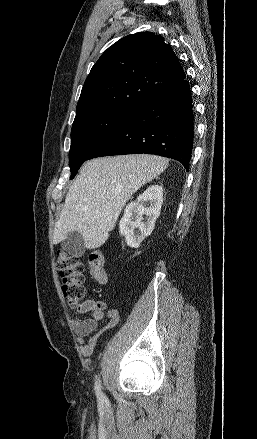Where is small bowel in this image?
Returning <instances> with one entry per match:
<instances>
[{"label":"small bowel","instance_id":"small-bowel-1","mask_svg":"<svg viewBox=\"0 0 257 439\" xmlns=\"http://www.w3.org/2000/svg\"><path fill=\"white\" fill-rule=\"evenodd\" d=\"M106 308L105 302L94 299H87L76 307L79 314L91 313V317L88 319L72 321L73 330L78 336L77 341L84 356H91L96 349V337L93 336L88 340H86V337L98 329L99 323L107 320L110 326H114L119 321L118 312L109 310L105 313Z\"/></svg>","mask_w":257,"mask_h":439}]
</instances>
